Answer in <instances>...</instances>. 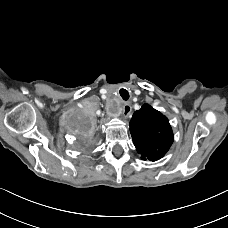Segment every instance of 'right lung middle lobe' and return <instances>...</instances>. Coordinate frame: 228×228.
Segmentation results:
<instances>
[{"label":"right lung middle lobe","instance_id":"obj_1","mask_svg":"<svg viewBox=\"0 0 228 228\" xmlns=\"http://www.w3.org/2000/svg\"><path fill=\"white\" fill-rule=\"evenodd\" d=\"M73 133L82 139L83 143H86L88 136L91 133V127L89 124L84 123L82 120L77 119L74 123Z\"/></svg>","mask_w":228,"mask_h":228}]
</instances>
